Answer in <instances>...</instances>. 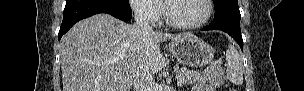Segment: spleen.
<instances>
[{
	"mask_svg": "<svg viewBox=\"0 0 304 91\" xmlns=\"http://www.w3.org/2000/svg\"><path fill=\"white\" fill-rule=\"evenodd\" d=\"M226 77L235 85L243 84V59L238 50L229 45L226 52Z\"/></svg>",
	"mask_w": 304,
	"mask_h": 91,
	"instance_id": "obj_1",
	"label": "spleen"
}]
</instances>
